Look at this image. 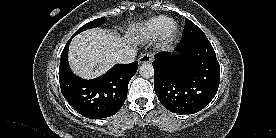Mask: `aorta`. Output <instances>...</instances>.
Returning <instances> with one entry per match:
<instances>
[{
	"mask_svg": "<svg viewBox=\"0 0 276 138\" xmlns=\"http://www.w3.org/2000/svg\"><path fill=\"white\" fill-rule=\"evenodd\" d=\"M139 73L144 78H150L154 75V68L150 63H143L140 66Z\"/></svg>",
	"mask_w": 276,
	"mask_h": 138,
	"instance_id": "aorta-1",
	"label": "aorta"
}]
</instances>
